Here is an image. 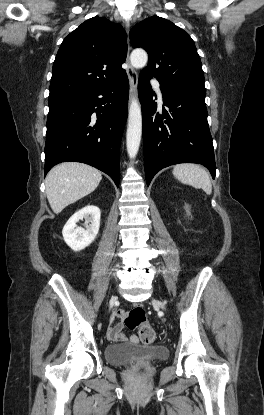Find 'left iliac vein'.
<instances>
[{
  "label": "left iliac vein",
  "instance_id": "1",
  "mask_svg": "<svg viewBox=\"0 0 264 415\" xmlns=\"http://www.w3.org/2000/svg\"><path fill=\"white\" fill-rule=\"evenodd\" d=\"M153 304H154V305L159 306V307H160L161 309H163V310H165V309H166V307H165L164 303H162L161 301H159V300H157V299H154V300H153Z\"/></svg>",
  "mask_w": 264,
  "mask_h": 415
}]
</instances>
